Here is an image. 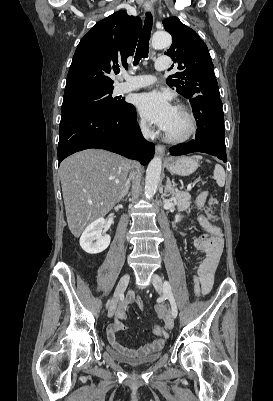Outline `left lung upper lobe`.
Here are the masks:
<instances>
[{"label":"left lung upper lobe","mask_w":273,"mask_h":401,"mask_svg":"<svg viewBox=\"0 0 273 401\" xmlns=\"http://www.w3.org/2000/svg\"><path fill=\"white\" fill-rule=\"evenodd\" d=\"M162 23L173 39L165 54L178 63V72L170 75L166 83L176 87V91L187 99L198 95L219 97L214 65L203 40L177 17L167 18Z\"/></svg>","instance_id":"left-lung-upper-lobe-1"}]
</instances>
